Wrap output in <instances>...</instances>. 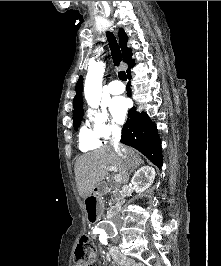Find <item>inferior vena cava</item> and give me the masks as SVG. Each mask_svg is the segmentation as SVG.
<instances>
[{
  "instance_id": "inferior-vena-cava-1",
  "label": "inferior vena cava",
  "mask_w": 221,
  "mask_h": 266,
  "mask_svg": "<svg viewBox=\"0 0 221 266\" xmlns=\"http://www.w3.org/2000/svg\"><path fill=\"white\" fill-rule=\"evenodd\" d=\"M120 138H121V130L119 128L113 129L111 144L113 145L114 150L118 155H120L123 159H127L126 148L119 145ZM114 224L116 227H119L121 225L120 217L114 218Z\"/></svg>"
}]
</instances>
